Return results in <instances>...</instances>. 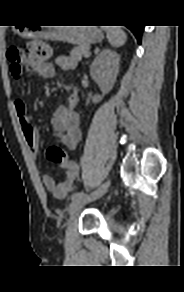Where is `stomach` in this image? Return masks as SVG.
<instances>
[{
    "label": "stomach",
    "mask_w": 184,
    "mask_h": 292,
    "mask_svg": "<svg viewBox=\"0 0 184 292\" xmlns=\"http://www.w3.org/2000/svg\"><path fill=\"white\" fill-rule=\"evenodd\" d=\"M19 32L27 38L43 36L50 40H58L77 45H89L103 39V33L97 27H59L51 31L40 32L31 28H20Z\"/></svg>",
    "instance_id": "stomach-1"
}]
</instances>
